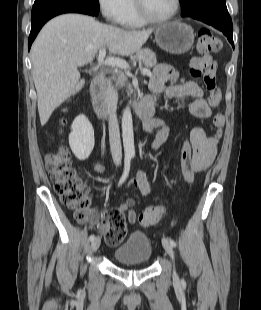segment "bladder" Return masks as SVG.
<instances>
[{
	"mask_svg": "<svg viewBox=\"0 0 261 310\" xmlns=\"http://www.w3.org/2000/svg\"><path fill=\"white\" fill-rule=\"evenodd\" d=\"M152 245L148 235L133 231L127 239L113 250V258L123 264H145L152 257Z\"/></svg>",
	"mask_w": 261,
	"mask_h": 310,
	"instance_id": "obj_1",
	"label": "bladder"
}]
</instances>
